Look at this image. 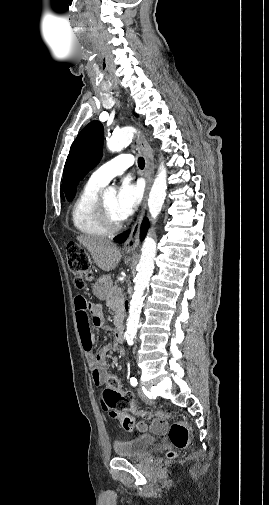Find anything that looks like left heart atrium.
<instances>
[{
    "instance_id": "1",
    "label": "left heart atrium",
    "mask_w": 269,
    "mask_h": 505,
    "mask_svg": "<svg viewBox=\"0 0 269 505\" xmlns=\"http://www.w3.org/2000/svg\"><path fill=\"white\" fill-rule=\"evenodd\" d=\"M142 197L141 187L129 180H123L116 195L115 211L118 218L123 221L131 216L137 209Z\"/></svg>"
}]
</instances>
